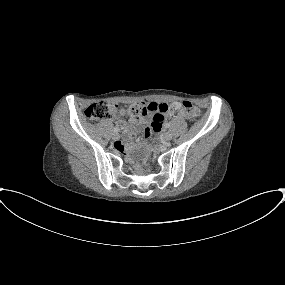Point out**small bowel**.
<instances>
[{
  "label": "small bowel",
  "instance_id": "c3829d8e",
  "mask_svg": "<svg viewBox=\"0 0 285 285\" xmlns=\"http://www.w3.org/2000/svg\"><path fill=\"white\" fill-rule=\"evenodd\" d=\"M142 105L146 106L147 113L151 116V129H147L145 131L146 135H149L151 131L160 130L164 123L163 118V108L167 106L164 103L157 102H147L142 103ZM185 117L184 115L178 116V119H182ZM148 122L145 116H136L129 120L128 123L122 126V129L125 132V136L122 140V143L119 145V149L121 152H125L129 147L133 146L134 141L137 138V133L135 132V127L139 125L146 124Z\"/></svg>",
  "mask_w": 285,
  "mask_h": 285
}]
</instances>
